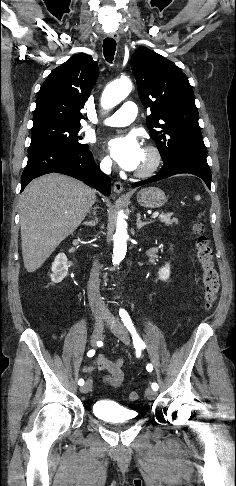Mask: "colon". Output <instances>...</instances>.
I'll return each instance as SVG.
<instances>
[{
  "label": "colon",
  "instance_id": "colon-1",
  "mask_svg": "<svg viewBox=\"0 0 236 486\" xmlns=\"http://www.w3.org/2000/svg\"><path fill=\"white\" fill-rule=\"evenodd\" d=\"M194 234L196 236L195 247L196 257L198 263L202 268V279L205 288L204 292V306L209 310L215 303L219 292V275L215 268L214 256L212 249L209 245L208 238L204 234L203 225L197 223L193 227ZM140 398V394L137 391H132L129 394V399L136 401Z\"/></svg>",
  "mask_w": 236,
  "mask_h": 486
}]
</instances>
